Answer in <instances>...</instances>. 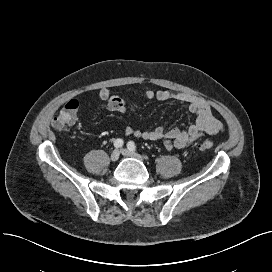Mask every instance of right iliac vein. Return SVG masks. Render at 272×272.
Returning a JSON list of instances; mask_svg holds the SVG:
<instances>
[{"label": "right iliac vein", "instance_id": "63e3f726", "mask_svg": "<svg viewBox=\"0 0 272 272\" xmlns=\"http://www.w3.org/2000/svg\"><path fill=\"white\" fill-rule=\"evenodd\" d=\"M120 157V152L118 150H114L111 155H110V159L112 162H116Z\"/></svg>", "mask_w": 272, "mask_h": 272}]
</instances>
